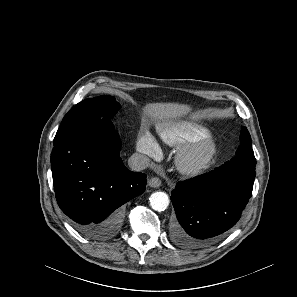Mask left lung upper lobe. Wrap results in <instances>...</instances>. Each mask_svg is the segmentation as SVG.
Returning <instances> with one entry per match:
<instances>
[{"label": "left lung upper lobe", "mask_w": 297, "mask_h": 297, "mask_svg": "<svg viewBox=\"0 0 297 297\" xmlns=\"http://www.w3.org/2000/svg\"><path fill=\"white\" fill-rule=\"evenodd\" d=\"M237 155H254L252 142L246 127H242L240 134V145L236 151Z\"/></svg>", "instance_id": "5c2ea615"}]
</instances>
